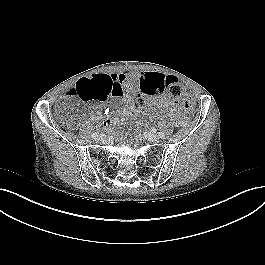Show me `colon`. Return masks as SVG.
I'll list each match as a JSON object with an SVG mask.
<instances>
[{"label":"colon","mask_w":265,"mask_h":265,"mask_svg":"<svg viewBox=\"0 0 265 265\" xmlns=\"http://www.w3.org/2000/svg\"><path fill=\"white\" fill-rule=\"evenodd\" d=\"M166 84V91L169 95L178 99V104L185 113L192 111L194 106V99L183 92L182 85L179 80L172 75H168L164 78ZM111 94V87L106 79H94V80H79L70 91H67L68 97H79L85 101L91 100H104ZM142 103V97L138 96L135 104L132 106V111L136 112L140 109ZM66 125L69 128H75L77 126V119L66 118Z\"/></svg>","instance_id":"1"}]
</instances>
